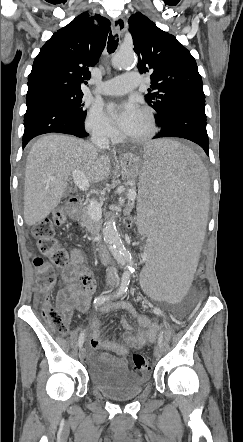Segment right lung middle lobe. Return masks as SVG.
I'll return each mask as SVG.
<instances>
[{
	"label": "right lung middle lobe",
	"mask_w": 243,
	"mask_h": 442,
	"mask_svg": "<svg viewBox=\"0 0 243 442\" xmlns=\"http://www.w3.org/2000/svg\"><path fill=\"white\" fill-rule=\"evenodd\" d=\"M43 94L53 95L60 98L71 107L72 111L79 119L82 121L85 120L86 111L83 109L84 103H82V92L53 89Z\"/></svg>",
	"instance_id": "1"
}]
</instances>
